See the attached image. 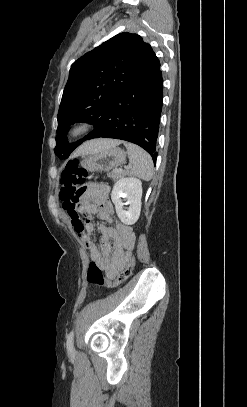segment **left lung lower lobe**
I'll use <instances>...</instances> for the list:
<instances>
[{"mask_svg":"<svg viewBox=\"0 0 247 407\" xmlns=\"http://www.w3.org/2000/svg\"><path fill=\"white\" fill-rule=\"evenodd\" d=\"M163 100L159 59L154 55L110 104L104 119L86 140L114 138L132 142L157 159L156 140Z\"/></svg>","mask_w":247,"mask_h":407,"instance_id":"left-lung-lower-lobe-1","label":"left lung lower lobe"}]
</instances>
